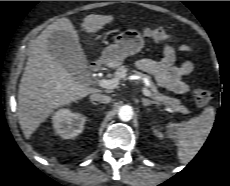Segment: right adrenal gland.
Wrapping results in <instances>:
<instances>
[{
	"instance_id": "obj_1",
	"label": "right adrenal gland",
	"mask_w": 230,
	"mask_h": 186,
	"mask_svg": "<svg viewBox=\"0 0 230 186\" xmlns=\"http://www.w3.org/2000/svg\"><path fill=\"white\" fill-rule=\"evenodd\" d=\"M90 102H91L93 105H98L97 103H95V102H93V101H91V100H90Z\"/></svg>"
}]
</instances>
